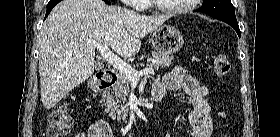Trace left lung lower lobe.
<instances>
[{"label":"left lung lower lobe","instance_id":"1","mask_svg":"<svg viewBox=\"0 0 280 137\" xmlns=\"http://www.w3.org/2000/svg\"><path fill=\"white\" fill-rule=\"evenodd\" d=\"M221 21H224L225 23L232 26L235 29V31L237 32L238 36L240 37L241 32H240L239 25H238L237 21H226V20H221Z\"/></svg>","mask_w":280,"mask_h":137}]
</instances>
